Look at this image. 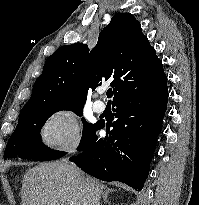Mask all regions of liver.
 I'll return each instance as SVG.
<instances>
[{
    "mask_svg": "<svg viewBox=\"0 0 199 205\" xmlns=\"http://www.w3.org/2000/svg\"><path fill=\"white\" fill-rule=\"evenodd\" d=\"M104 185L63 161L29 168L21 188L22 205H100Z\"/></svg>",
    "mask_w": 199,
    "mask_h": 205,
    "instance_id": "6515ba94",
    "label": "liver"
}]
</instances>
